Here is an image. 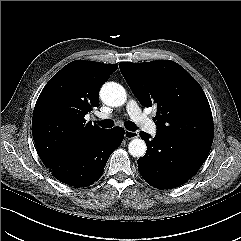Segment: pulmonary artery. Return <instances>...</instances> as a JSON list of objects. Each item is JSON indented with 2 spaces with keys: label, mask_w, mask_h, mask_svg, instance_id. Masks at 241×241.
Instances as JSON below:
<instances>
[{
  "label": "pulmonary artery",
  "mask_w": 241,
  "mask_h": 241,
  "mask_svg": "<svg viewBox=\"0 0 241 241\" xmlns=\"http://www.w3.org/2000/svg\"><path fill=\"white\" fill-rule=\"evenodd\" d=\"M127 112L131 119L144 131L150 133V134H155L157 127L156 125L152 122L151 119H149L140 109L138 106L137 102L134 100H129L126 105ZM102 119H105L108 117L106 114H101L99 116Z\"/></svg>",
  "instance_id": "e3ab8cb5"
}]
</instances>
